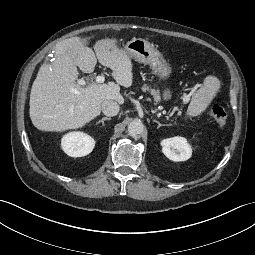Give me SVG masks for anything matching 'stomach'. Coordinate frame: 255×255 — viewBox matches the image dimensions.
<instances>
[{"label": "stomach", "instance_id": "0dacf381", "mask_svg": "<svg viewBox=\"0 0 255 255\" xmlns=\"http://www.w3.org/2000/svg\"><path fill=\"white\" fill-rule=\"evenodd\" d=\"M124 50L135 61L148 64L153 73L161 80L165 81L170 77L172 73L170 64L166 62L159 50L149 41L142 38H133L126 43ZM162 97L165 101L171 99L172 92L168 87L164 88Z\"/></svg>", "mask_w": 255, "mask_h": 255}]
</instances>
